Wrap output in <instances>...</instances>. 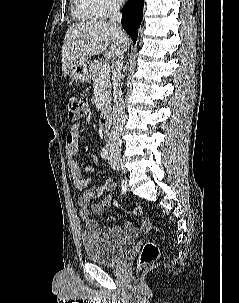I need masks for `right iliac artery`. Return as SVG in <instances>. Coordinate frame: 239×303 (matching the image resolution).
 Masks as SVG:
<instances>
[{"mask_svg": "<svg viewBox=\"0 0 239 303\" xmlns=\"http://www.w3.org/2000/svg\"><path fill=\"white\" fill-rule=\"evenodd\" d=\"M108 156H109V152H108V147L106 146V147H104V148L102 149V151H101V157H102L103 159H107ZM121 175H122V176H125V175H126V172H125V171H122V172H121ZM119 183L122 185V192H126V190H127L126 180H125L124 178H121V179L119 180Z\"/></svg>", "mask_w": 239, "mask_h": 303, "instance_id": "1", "label": "right iliac artery"}]
</instances>
